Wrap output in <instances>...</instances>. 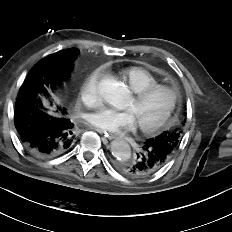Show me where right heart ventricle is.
I'll return each instance as SVG.
<instances>
[{"mask_svg":"<svg viewBox=\"0 0 232 232\" xmlns=\"http://www.w3.org/2000/svg\"><path fill=\"white\" fill-rule=\"evenodd\" d=\"M122 78L133 92L158 84L156 77L141 67H128L122 71Z\"/></svg>","mask_w":232,"mask_h":232,"instance_id":"obj_1","label":"right heart ventricle"}]
</instances>
